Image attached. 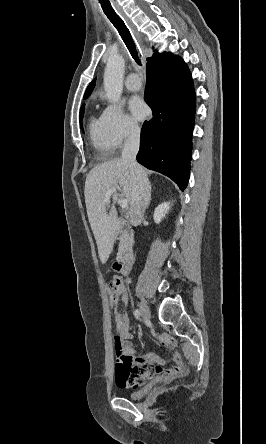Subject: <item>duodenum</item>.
Returning a JSON list of instances; mask_svg holds the SVG:
<instances>
[{"label":"duodenum","instance_id":"duodenum-1","mask_svg":"<svg viewBox=\"0 0 266 444\" xmlns=\"http://www.w3.org/2000/svg\"><path fill=\"white\" fill-rule=\"evenodd\" d=\"M131 266H132V252L129 249H127L118 258L116 262V267L122 275L127 276L131 272Z\"/></svg>","mask_w":266,"mask_h":444}]
</instances>
